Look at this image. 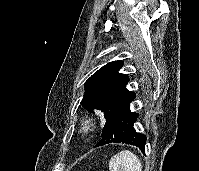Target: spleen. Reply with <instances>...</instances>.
<instances>
[{
	"mask_svg": "<svg viewBox=\"0 0 199 171\" xmlns=\"http://www.w3.org/2000/svg\"><path fill=\"white\" fill-rule=\"evenodd\" d=\"M110 171H142L140 159L131 151L123 150L109 161Z\"/></svg>",
	"mask_w": 199,
	"mask_h": 171,
	"instance_id": "3e777b00",
	"label": "spleen"
}]
</instances>
